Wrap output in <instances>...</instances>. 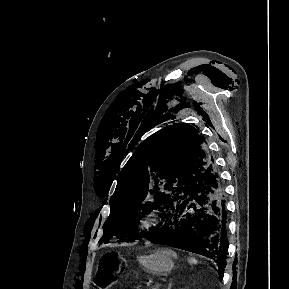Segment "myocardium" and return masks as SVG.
<instances>
[{"mask_svg": "<svg viewBox=\"0 0 289 289\" xmlns=\"http://www.w3.org/2000/svg\"><path fill=\"white\" fill-rule=\"evenodd\" d=\"M160 221V211L158 209L149 210L139 221V228L148 230L156 226Z\"/></svg>", "mask_w": 289, "mask_h": 289, "instance_id": "f54148a6", "label": "myocardium"}]
</instances>
